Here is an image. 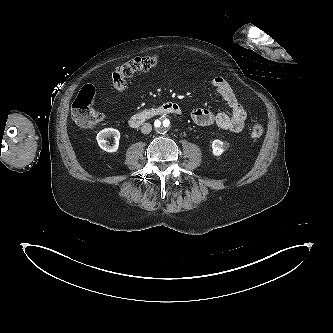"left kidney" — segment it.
Here are the masks:
<instances>
[{
  "instance_id": "obj_1",
  "label": "left kidney",
  "mask_w": 333,
  "mask_h": 333,
  "mask_svg": "<svg viewBox=\"0 0 333 333\" xmlns=\"http://www.w3.org/2000/svg\"><path fill=\"white\" fill-rule=\"evenodd\" d=\"M229 144L227 142L216 139L212 142V152L215 156H220L225 150H227Z\"/></svg>"
}]
</instances>
